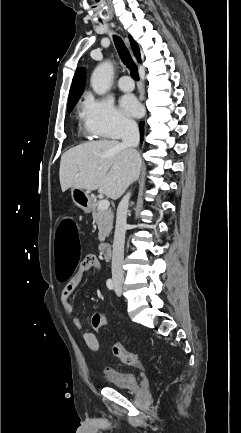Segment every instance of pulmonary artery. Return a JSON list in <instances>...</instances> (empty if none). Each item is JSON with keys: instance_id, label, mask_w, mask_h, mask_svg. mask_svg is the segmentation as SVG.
Segmentation results:
<instances>
[{"instance_id": "e3ab8cb5", "label": "pulmonary artery", "mask_w": 241, "mask_h": 433, "mask_svg": "<svg viewBox=\"0 0 241 433\" xmlns=\"http://www.w3.org/2000/svg\"><path fill=\"white\" fill-rule=\"evenodd\" d=\"M118 86L122 91H131L134 83L129 76L124 75L118 80Z\"/></svg>"}]
</instances>
